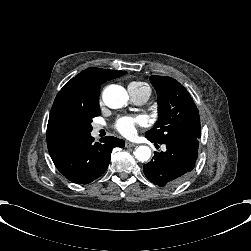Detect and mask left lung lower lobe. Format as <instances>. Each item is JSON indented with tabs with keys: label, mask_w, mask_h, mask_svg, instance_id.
I'll return each mask as SVG.
<instances>
[{
	"label": "left lung lower lobe",
	"mask_w": 251,
	"mask_h": 251,
	"mask_svg": "<svg viewBox=\"0 0 251 251\" xmlns=\"http://www.w3.org/2000/svg\"><path fill=\"white\" fill-rule=\"evenodd\" d=\"M153 143H157L152 141ZM166 152H154L153 159L143 166L145 176L154 184L172 187L181 183L195 167L198 140H180L168 143ZM156 145V144H155Z\"/></svg>",
	"instance_id": "obj_1"
}]
</instances>
